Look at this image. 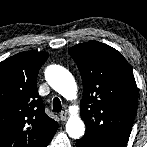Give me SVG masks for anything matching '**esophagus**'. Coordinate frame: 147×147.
<instances>
[{
    "label": "esophagus",
    "instance_id": "obj_1",
    "mask_svg": "<svg viewBox=\"0 0 147 147\" xmlns=\"http://www.w3.org/2000/svg\"><path fill=\"white\" fill-rule=\"evenodd\" d=\"M59 116L61 121H65L68 115L65 111H62Z\"/></svg>",
    "mask_w": 147,
    "mask_h": 147
}]
</instances>
